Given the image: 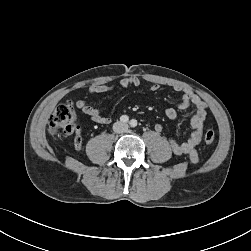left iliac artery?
<instances>
[{"label":"left iliac artery","mask_w":251,"mask_h":251,"mask_svg":"<svg viewBox=\"0 0 251 251\" xmlns=\"http://www.w3.org/2000/svg\"><path fill=\"white\" fill-rule=\"evenodd\" d=\"M130 126L133 127V128L136 127L137 126V121L135 119H132L130 121Z\"/></svg>","instance_id":"obj_1"}]
</instances>
